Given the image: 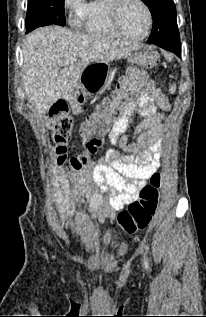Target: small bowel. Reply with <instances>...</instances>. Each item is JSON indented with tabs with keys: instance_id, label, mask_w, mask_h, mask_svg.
<instances>
[{
	"instance_id": "c3829d8e",
	"label": "small bowel",
	"mask_w": 206,
	"mask_h": 317,
	"mask_svg": "<svg viewBox=\"0 0 206 317\" xmlns=\"http://www.w3.org/2000/svg\"><path fill=\"white\" fill-rule=\"evenodd\" d=\"M169 111L170 103L165 94L154 81L148 80L136 101L129 104L114 123L109 135L110 142L128 155L110 149L96 163L86 165L73 175L76 189L71 196L79 208L86 206L87 212L103 223L113 211L138 199L146 181L161 164V134L165 114ZM135 112L143 119L128 133V124Z\"/></svg>"
}]
</instances>
